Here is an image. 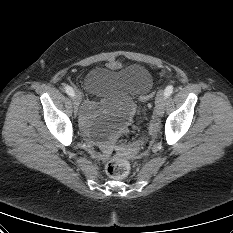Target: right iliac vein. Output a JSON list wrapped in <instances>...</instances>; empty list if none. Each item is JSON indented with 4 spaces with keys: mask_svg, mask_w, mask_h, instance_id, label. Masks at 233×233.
<instances>
[{
    "mask_svg": "<svg viewBox=\"0 0 233 233\" xmlns=\"http://www.w3.org/2000/svg\"><path fill=\"white\" fill-rule=\"evenodd\" d=\"M81 100H82V96H81L80 92H76L74 95V98H73L75 114H77V112H78V107L80 105Z\"/></svg>",
    "mask_w": 233,
    "mask_h": 233,
    "instance_id": "obj_1",
    "label": "right iliac vein"
}]
</instances>
